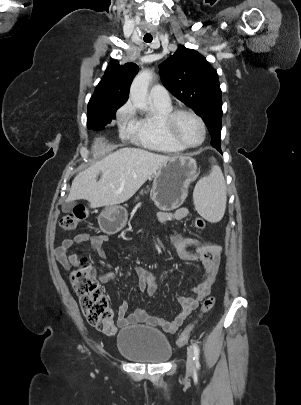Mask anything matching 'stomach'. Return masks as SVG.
<instances>
[{
	"instance_id": "stomach-1",
	"label": "stomach",
	"mask_w": 301,
	"mask_h": 405,
	"mask_svg": "<svg viewBox=\"0 0 301 405\" xmlns=\"http://www.w3.org/2000/svg\"><path fill=\"white\" fill-rule=\"evenodd\" d=\"M197 177V163L190 155H177L165 161L154 175L151 198L155 205L165 211L180 207L188 195L190 184ZM127 213L121 208H108L99 221L109 233L121 230Z\"/></svg>"
}]
</instances>
